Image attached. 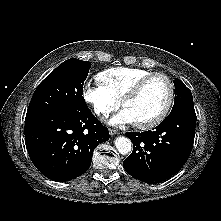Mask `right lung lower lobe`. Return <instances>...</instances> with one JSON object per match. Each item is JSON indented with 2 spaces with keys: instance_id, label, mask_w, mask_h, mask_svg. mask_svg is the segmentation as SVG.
<instances>
[{
  "instance_id": "obj_1",
  "label": "right lung lower lobe",
  "mask_w": 221,
  "mask_h": 221,
  "mask_svg": "<svg viewBox=\"0 0 221 221\" xmlns=\"http://www.w3.org/2000/svg\"><path fill=\"white\" fill-rule=\"evenodd\" d=\"M25 142L34 166L46 177L64 182L85 173L95 147L109 140V131L89 110L26 116Z\"/></svg>"
}]
</instances>
